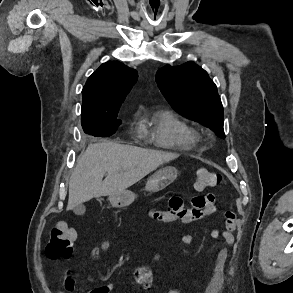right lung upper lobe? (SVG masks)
<instances>
[{
    "label": "right lung upper lobe",
    "instance_id": "right-lung-upper-lobe-1",
    "mask_svg": "<svg viewBox=\"0 0 293 293\" xmlns=\"http://www.w3.org/2000/svg\"><path fill=\"white\" fill-rule=\"evenodd\" d=\"M138 78L136 70L116 61L102 64L83 90L82 116L118 112L126 94Z\"/></svg>",
    "mask_w": 293,
    "mask_h": 293
}]
</instances>
